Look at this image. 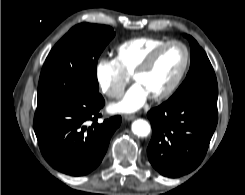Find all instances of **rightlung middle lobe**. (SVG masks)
Instances as JSON below:
<instances>
[{
	"instance_id": "right-lung-middle-lobe-1",
	"label": "right lung middle lobe",
	"mask_w": 245,
	"mask_h": 195,
	"mask_svg": "<svg viewBox=\"0 0 245 195\" xmlns=\"http://www.w3.org/2000/svg\"><path fill=\"white\" fill-rule=\"evenodd\" d=\"M114 36L113 29L105 25L81 23L71 28L43 65L37 108L98 95L97 60Z\"/></svg>"
}]
</instances>
